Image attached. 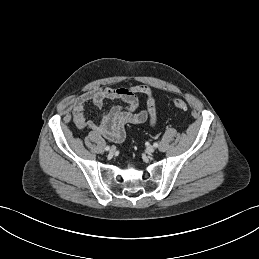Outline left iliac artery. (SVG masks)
<instances>
[{
  "instance_id": "left-iliac-artery-1",
  "label": "left iliac artery",
  "mask_w": 259,
  "mask_h": 259,
  "mask_svg": "<svg viewBox=\"0 0 259 259\" xmlns=\"http://www.w3.org/2000/svg\"><path fill=\"white\" fill-rule=\"evenodd\" d=\"M153 146H154V147H158V143L155 142V143L153 144Z\"/></svg>"
}]
</instances>
